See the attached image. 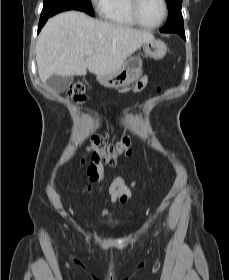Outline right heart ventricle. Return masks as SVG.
Wrapping results in <instances>:
<instances>
[{
    "instance_id": "1",
    "label": "right heart ventricle",
    "mask_w": 229,
    "mask_h": 280,
    "mask_svg": "<svg viewBox=\"0 0 229 280\" xmlns=\"http://www.w3.org/2000/svg\"><path fill=\"white\" fill-rule=\"evenodd\" d=\"M102 17L106 22L117 27L132 28L137 26L129 11V0H110Z\"/></svg>"
}]
</instances>
